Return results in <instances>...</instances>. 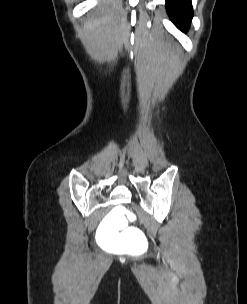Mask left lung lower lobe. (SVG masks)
I'll list each match as a JSON object with an SVG mask.
<instances>
[{
  "label": "left lung lower lobe",
  "instance_id": "1",
  "mask_svg": "<svg viewBox=\"0 0 247 304\" xmlns=\"http://www.w3.org/2000/svg\"><path fill=\"white\" fill-rule=\"evenodd\" d=\"M166 9L172 22L181 31H187L193 17L191 0H166Z\"/></svg>",
  "mask_w": 247,
  "mask_h": 304
}]
</instances>
